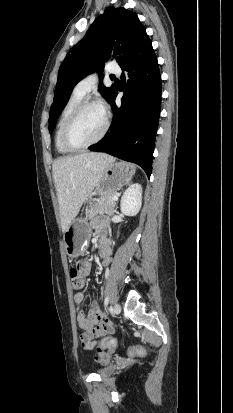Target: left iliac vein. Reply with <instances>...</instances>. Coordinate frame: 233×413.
I'll use <instances>...</instances> for the list:
<instances>
[{"instance_id":"4c4485c4","label":"left iliac vein","mask_w":233,"mask_h":413,"mask_svg":"<svg viewBox=\"0 0 233 413\" xmlns=\"http://www.w3.org/2000/svg\"><path fill=\"white\" fill-rule=\"evenodd\" d=\"M113 312L119 314L121 312V306L118 303H115L113 306Z\"/></svg>"}]
</instances>
